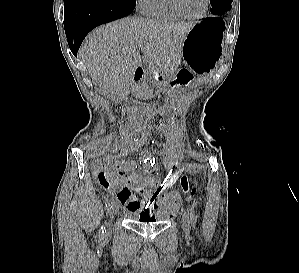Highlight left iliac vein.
Returning <instances> with one entry per match:
<instances>
[{
    "mask_svg": "<svg viewBox=\"0 0 299 273\" xmlns=\"http://www.w3.org/2000/svg\"><path fill=\"white\" fill-rule=\"evenodd\" d=\"M182 228L186 233L190 231V218L187 212L183 213L182 216Z\"/></svg>",
    "mask_w": 299,
    "mask_h": 273,
    "instance_id": "left-iliac-vein-1",
    "label": "left iliac vein"
}]
</instances>
